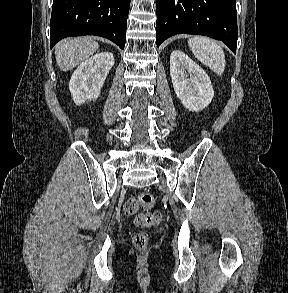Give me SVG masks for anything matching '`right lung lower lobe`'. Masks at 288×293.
Wrapping results in <instances>:
<instances>
[{
    "instance_id": "98d812e1",
    "label": "right lung lower lobe",
    "mask_w": 288,
    "mask_h": 293,
    "mask_svg": "<svg viewBox=\"0 0 288 293\" xmlns=\"http://www.w3.org/2000/svg\"><path fill=\"white\" fill-rule=\"evenodd\" d=\"M130 0H53L50 47L66 37L96 35L124 49Z\"/></svg>"
}]
</instances>
